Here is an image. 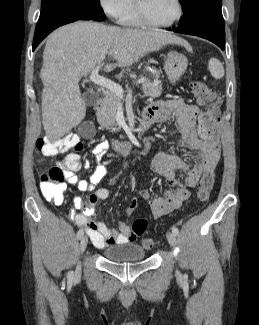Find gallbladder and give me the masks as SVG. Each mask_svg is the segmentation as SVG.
Returning a JSON list of instances; mask_svg holds the SVG:
<instances>
[{"label":"gallbladder","mask_w":259,"mask_h":325,"mask_svg":"<svg viewBox=\"0 0 259 325\" xmlns=\"http://www.w3.org/2000/svg\"><path fill=\"white\" fill-rule=\"evenodd\" d=\"M83 99L87 106H93L97 102V95L94 92L87 91L83 94ZM94 121H83L81 125L80 135L82 139H95L96 133L94 132Z\"/></svg>","instance_id":"bac80fb5"}]
</instances>
